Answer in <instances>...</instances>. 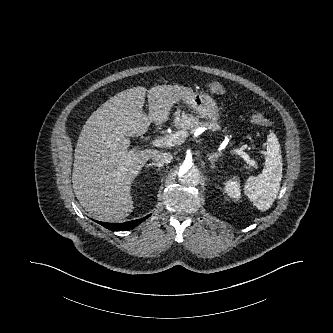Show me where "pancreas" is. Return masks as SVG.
I'll return each instance as SVG.
<instances>
[{
  "label": "pancreas",
  "mask_w": 333,
  "mask_h": 333,
  "mask_svg": "<svg viewBox=\"0 0 333 333\" xmlns=\"http://www.w3.org/2000/svg\"><path fill=\"white\" fill-rule=\"evenodd\" d=\"M175 116V126L181 129V131L185 132V137L200 127H214L213 125H209L207 122H200L198 118L188 115L184 112L180 113L177 111L175 112ZM249 165H254V162H250Z\"/></svg>",
  "instance_id": "cf45deb5"
}]
</instances>
